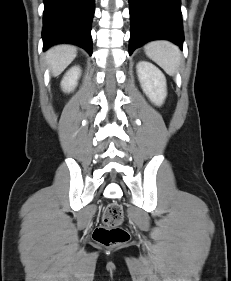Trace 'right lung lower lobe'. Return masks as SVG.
<instances>
[{
	"label": "right lung lower lobe",
	"mask_w": 231,
	"mask_h": 281,
	"mask_svg": "<svg viewBox=\"0 0 231 281\" xmlns=\"http://www.w3.org/2000/svg\"><path fill=\"white\" fill-rule=\"evenodd\" d=\"M43 49L72 43L92 55L91 22L94 0H44Z\"/></svg>",
	"instance_id": "right-lung-lower-lobe-1"
}]
</instances>
